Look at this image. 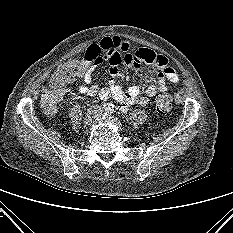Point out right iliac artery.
I'll use <instances>...</instances> for the list:
<instances>
[{"instance_id": "82829eb1", "label": "right iliac artery", "mask_w": 233, "mask_h": 233, "mask_svg": "<svg viewBox=\"0 0 233 233\" xmlns=\"http://www.w3.org/2000/svg\"><path fill=\"white\" fill-rule=\"evenodd\" d=\"M110 108H111V105L108 104V103H107V104H104L103 107H102V109L105 110V111H109Z\"/></svg>"}]
</instances>
